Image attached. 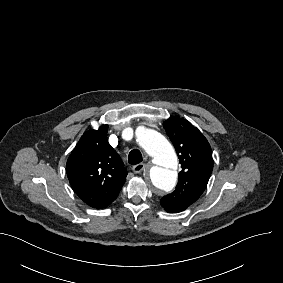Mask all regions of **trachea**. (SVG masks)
Masks as SVG:
<instances>
[{"mask_svg":"<svg viewBox=\"0 0 283 283\" xmlns=\"http://www.w3.org/2000/svg\"><path fill=\"white\" fill-rule=\"evenodd\" d=\"M142 162V154L138 149H133L129 152L128 163L131 165H137Z\"/></svg>","mask_w":283,"mask_h":283,"instance_id":"1","label":"trachea"}]
</instances>
